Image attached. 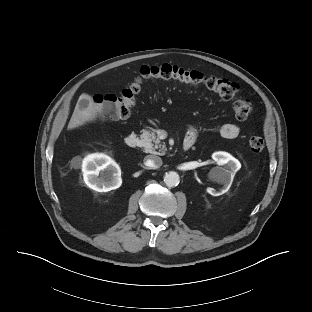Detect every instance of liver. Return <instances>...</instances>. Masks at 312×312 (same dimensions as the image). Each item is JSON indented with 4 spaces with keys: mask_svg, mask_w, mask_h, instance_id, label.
<instances>
[{
    "mask_svg": "<svg viewBox=\"0 0 312 312\" xmlns=\"http://www.w3.org/2000/svg\"><path fill=\"white\" fill-rule=\"evenodd\" d=\"M84 100L86 103L81 104ZM99 106L93 101V98L83 93L76 104L72 117L68 124V130L75 129L79 126L86 124L87 122L95 121L99 117Z\"/></svg>",
    "mask_w": 312,
    "mask_h": 312,
    "instance_id": "1",
    "label": "liver"
}]
</instances>
